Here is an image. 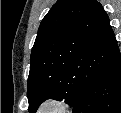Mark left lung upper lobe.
Returning a JSON list of instances; mask_svg holds the SVG:
<instances>
[{"instance_id": "1", "label": "left lung upper lobe", "mask_w": 121, "mask_h": 113, "mask_svg": "<svg viewBox=\"0 0 121 113\" xmlns=\"http://www.w3.org/2000/svg\"><path fill=\"white\" fill-rule=\"evenodd\" d=\"M116 39L96 0H59L43 18L31 52L27 97L34 113L47 99L72 106L110 57Z\"/></svg>"}]
</instances>
